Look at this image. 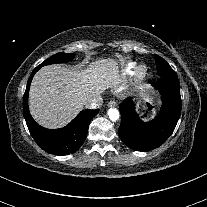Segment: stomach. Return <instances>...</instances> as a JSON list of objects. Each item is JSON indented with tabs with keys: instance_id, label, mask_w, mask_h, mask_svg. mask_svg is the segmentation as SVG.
I'll list each match as a JSON object with an SVG mask.
<instances>
[{
	"instance_id": "obj_1",
	"label": "stomach",
	"mask_w": 207,
	"mask_h": 207,
	"mask_svg": "<svg viewBox=\"0 0 207 207\" xmlns=\"http://www.w3.org/2000/svg\"><path fill=\"white\" fill-rule=\"evenodd\" d=\"M138 96L139 101L137 104V111L140 113V115H144L146 112H148L145 119L153 117L156 111L154 106L158 104V101L154 96V92L150 90L149 86L144 85L139 89Z\"/></svg>"
}]
</instances>
